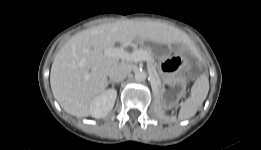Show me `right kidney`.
Here are the masks:
<instances>
[{
	"label": "right kidney",
	"instance_id": "obj_1",
	"mask_svg": "<svg viewBox=\"0 0 261 150\" xmlns=\"http://www.w3.org/2000/svg\"><path fill=\"white\" fill-rule=\"evenodd\" d=\"M117 97L115 89L105 90L99 98L94 102L91 116L94 118H102L111 112Z\"/></svg>",
	"mask_w": 261,
	"mask_h": 150
}]
</instances>
